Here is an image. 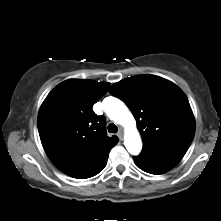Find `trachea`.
Segmentation results:
<instances>
[{
	"mask_svg": "<svg viewBox=\"0 0 221 221\" xmlns=\"http://www.w3.org/2000/svg\"><path fill=\"white\" fill-rule=\"evenodd\" d=\"M108 131L111 132V133H116L118 131V128L115 124L110 123L108 125Z\"/></svg>",
	"mask_w": 221,
	"mask_h": 221,
	"instance_id": "obj_1",
	"label": "trachea"
}]
</instances>
